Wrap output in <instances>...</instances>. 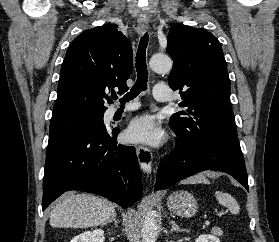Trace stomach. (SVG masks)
<instances>
[{
  "mask_svg": "<svg viewBox=\"0 0 279 242\" xmlns=\"http://www.w3.org/2000/svg\"><path fill=\"white\" fill-rule=\"evenodd\" d=\"M169 209L181 217H191L198 210L195 197L188 191L173 192L167 199Z\"/></svg>",
  "mask_w": 279,
  "mask_h": 242,
  "instance_id": "0dacf381",
  "label": "stomach"
}]
</instances>
